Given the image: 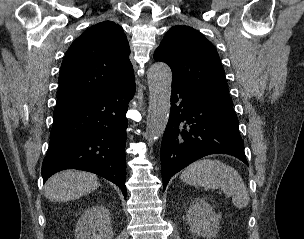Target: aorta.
I'll return each mask as SVG.
<instances>
[{
  "mask_svg": "<svg viewBox=\"0 0 304 239\" xmlns=\"http://www.w3.org/2000/svg\"><path fill=\"white\" fill-rule=\"evenodd\" d=\"M149 85V107L147 116V139L157 140L165 131L171 108L172 72L162 62L154 63L147 74Z\"/></svg>",
  "mask_w": 304,
  "mask_h": 239,
  "instance_id": "1",
  "label": "aorta"
}]
</instances>
